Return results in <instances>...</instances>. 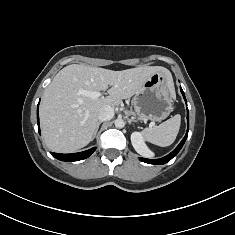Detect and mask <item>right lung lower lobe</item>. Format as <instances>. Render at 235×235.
Segmentation results:
<instances>
[{
  "instance_id": "obj_1",
  "label": "right lung lower lobe",
  "mask_w": 235,
  "mask_h": 235,
  "mask_svg": "<svg viewBox=\"0 0 235 235\" xmlns=\"http://www.w3.org/2000/svg\"><path fill=\"white\" fill-rule=\"evenodd\" d=\"M37 123H38V131L40 133L38 111H37ZM95 150H96V147H93L89 150L79 152V153H72V154L53 153L52 155L58 160L72 162V161H79V160L89 157Z\"/></svg>"
}]
</instances>
